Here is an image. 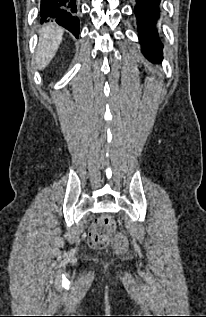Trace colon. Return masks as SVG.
<instances>
[{"label":"colon","instance_id":"5ec220e1","mask_svg":"<svg viewBox=\"0 0 206 317\" xmlns=\"http://www.w3.org/2000/svg\"><path fill=\"white\" fill-rule=\"evenodd\" d=\"M114 227V220L110 216L102 217L90 232L91 246L96 249L112 246L116 252H125L128 247L127 239L121 233L116 232Z\"/></svg>","mask_w":206,"mask_h":317}]
</instances>
